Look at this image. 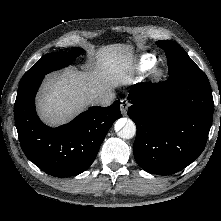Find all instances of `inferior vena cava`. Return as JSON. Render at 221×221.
Here are the masks:
<instances>
[{"instance_id": "602c4592", "label": "inferior vena cava", "mask_w": 221, "mask_h": 221, "mask_svg": "<svg viewBox=\"0 0 221 221\" xmlns=\"http://www.w3.org/2000/svg\"><path fill=\"white\" fill-rule=\"evenodd\" d=\"M115 98V93L110 92L102 96H98L94 99V104L98 106H109L113 103Z\"/></svg>"}]
</instances>
